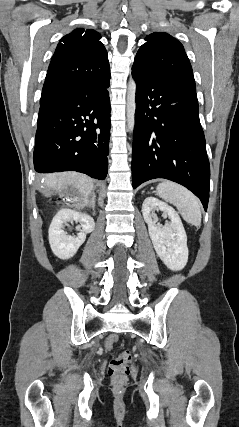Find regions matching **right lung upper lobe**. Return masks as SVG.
I'll list each match as a JSON object with an SVG mask.
<instances>
[{
	"label": "right lung upper lobe",
	"instance_id": "cb5924a9",
	"mask_svg": "<svg viewBox=\"0 0 239 427\" xmlns=\"http://www.w3.org/2000/svg\"><path fill=\"white\" fill-rule=\"evenodd\" d=\"M94 30L76 29L64 36L52 57L42 95L69 83L94 82L110 74L107 51Z\"/></svg>",
	"mask_w": 239,
	"mask_h": 427
}]
</instances>
